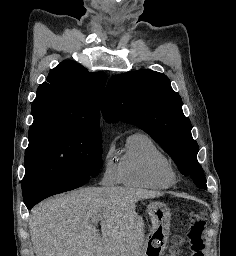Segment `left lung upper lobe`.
Masks as SVG:
<instances>
[{"label": "left lung upper lobe", "mask_w": 236, "mask_h": 256, "mask_svg": "<svg viewBox=\"0 0 236 256\" xmlns=\"http://www.w3.org/2000/svg\"><path fill=\"white\" fill-rule=\"evenodd\" d=\"M102 113L109 122L120 120L143 129L171 156L182 174L207 189L191 122L166 75L138 70L113 76L105 90Z\"/></svg>", "instance_id": "5c2ea615"}]
</instances>
